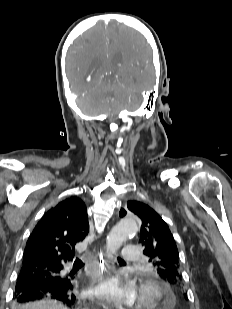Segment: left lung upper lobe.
<instances>
[{"label":"left lung upper lobe","instance_id":"left-lung-upper-lobe-1","mask_svg":"<svg viewBox=\"0 0 232 309\" xmlns=\"http://www.w3.org/2000/svg\"><path fill=\"white\" fill-rule=\"evenodd\" d=\"M127 208L142 221L139 243L144 247V255L150 258L149 262L165 281L180 285L182 275L179 252L168 225L151 207L142 202L129 201ZM126 214L125 209L120 210V217Z\"/></svg>","mask_w":232,"mask_h":309}]
</instances>
